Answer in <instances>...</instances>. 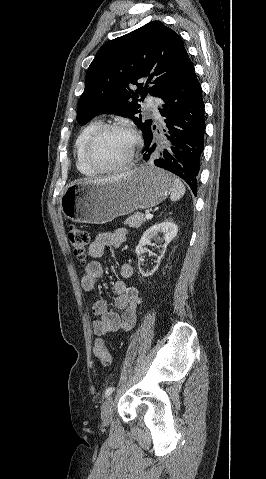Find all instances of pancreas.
Segmentation results:
<instances>
[{
    "mask_svg": "<svg viewBox=\"0 0 266 479\" xmlns=\"http://www.w3.org/2000/svg\"><path fill=\"white\" fill-rule=\"evenodd\" d=\"M146 221V218L143 213L141 212H136L133 215L129 216L124 224L129 225L130 227L133 228H139L144 222Z\"/></svg>",
    "mask_w": 266,
    "mask_h": 479,
    "instance_id": "cf45deb5",
    "label": "pancreas"
}]
</instances>
